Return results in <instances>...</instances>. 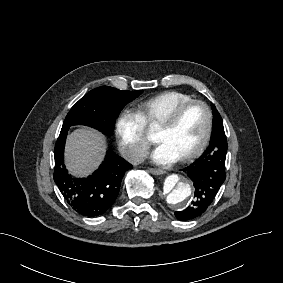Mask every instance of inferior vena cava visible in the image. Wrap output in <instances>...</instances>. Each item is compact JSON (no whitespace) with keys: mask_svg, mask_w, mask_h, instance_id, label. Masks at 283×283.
Segmentation results:
<instances>
[{"mask_svg":"<svg viewBox=\"0 0 283 283\" xmlns=\"http://www.w3.org/2000/svg\"><path fill=\"white\" fill-rule=\"evenodd\" d=\"M147 157V151L139 146H130L126 153V159L133 165H138L144 162Z\"/></svg>","mask_w":283,"mask_h":283,"instance_id":"obj_1","label":"inferior vena cava"}]
</instances>
